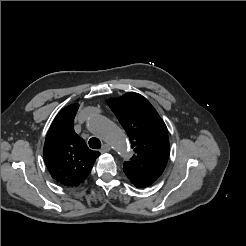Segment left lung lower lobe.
Segmentation results:
<instances>
[{
  "instance_id": "obj_1",
  "label": "left lung lower lobe",
  "mask_w": 246,
  "mask_h": 246,
  "mask_svg": "<svg viewBox=\"0 0 246 246\" xmlns=\"http://www.w3.org/2000/svg\"><path fill=\"white\" fill-rule=\"evenodd\" d=\"M125 174L127 175V177L129 178V180L131 181L132 184H134V186H136L137 188H145V187H148L152 184V182L142 178V177H139L133 173H130V172H126L124 171Z\"/></svg>"
}]
</instances>
